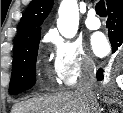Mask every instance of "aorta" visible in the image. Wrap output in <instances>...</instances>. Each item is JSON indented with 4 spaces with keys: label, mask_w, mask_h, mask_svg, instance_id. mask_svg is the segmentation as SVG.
Masks as SVG:
<instances>
[{
    "label": "aorta",
    "mask_w": 123,
    "mask_h": 113,
    "mask_svg": "<svg viewBox=\"0 0 123 113\" xmlns=\"http://www.w3.org/2000/svg\"><path fill=\"white\" fill-rule=\"evenodd\" d=\"M79 26V11L76 0H62L58 9L57 28L65 38H73Z\"/></svg>",
    "instance_id": "762f6f07"
}]
</instances>
